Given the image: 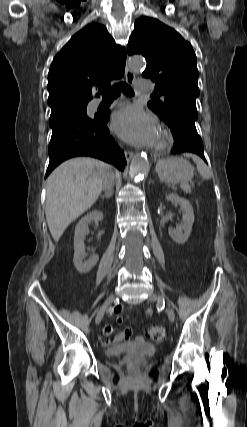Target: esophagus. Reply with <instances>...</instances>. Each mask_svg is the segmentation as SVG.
Here are the masks:
<instances>
[{"instance_id": "esophagus-1", "label": "esophagus", "mask_w": 247, "mask_h": 427, "mask_svg": "<svg viewBox=\"0 0 247 427\" xmlns=\"http://www.w3.org/2000/svg\"><path fill=\"white\" fill-rule=\"evenodd\" d=\"M125 78H126V82L130 85H132L135 81V74L130 70L127 63L125 67ZM133 156H134L133 152H130V151L125 152V158L127 162H129L133 158Z\"/></svg>"}]
</instances>
